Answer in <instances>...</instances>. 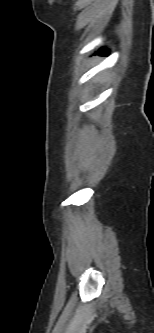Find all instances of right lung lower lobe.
Masks as SVG:
<instances>
[{
    "instance_id": "1",
    "label": "right lung lower lobe",
    "mask_w": 154,
    "mask_h": 333,
    "mask_svg": "<svg viewBox=\"0 0 154 333\" xmlns=\"http://www.w3.org/2000/svg\"><path fill=\"white\" fill-rule=\"evenodd\" d=\"M102 52L105 53V52H106V49H103Z\"/></svg>"
}]
</instances>
